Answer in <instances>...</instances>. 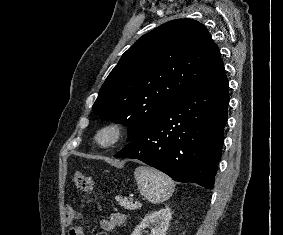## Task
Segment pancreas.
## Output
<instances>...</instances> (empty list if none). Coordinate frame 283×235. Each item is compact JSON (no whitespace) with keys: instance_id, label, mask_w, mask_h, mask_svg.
<instances>
[{"instance_id":"obj_1","label":"pancreas","mask_w":283,"mask_h":235,"mask_svg":"<svg viewBox=\"0 0 283 235\" xmlns=\"http://www.w3.org/2000/svg\"><path fill=\"white\" fill-rule=\"evenodd\" d=\"M116 201L119 203L120 206L128 210H135L140 207V204H133L131 200H128L127 198H122L120 196L116 197Z\"/></svg>"}]
</instances>
